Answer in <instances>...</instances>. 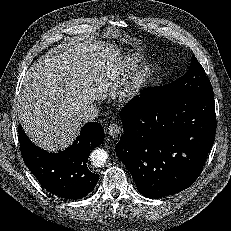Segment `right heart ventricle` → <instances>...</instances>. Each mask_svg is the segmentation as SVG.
<instances>
[{"label": "right heart ventricle", "mask_w": 231, "mask_h": 231, "mask_svg": "<svg viewBox=\"0 0 231 231\" xmlns=\"http://www.w3.org/2000/svg\"><path fill=\"white\" fill-rule=\"evenodd\" d=\"M140 65V60L136 58H125L113 65L101 68L96 74L98 82H106L107 80L119 79L120 76L128 74L136 70Z\"/></svg>", "instance_id": "1"}]
</instances>
